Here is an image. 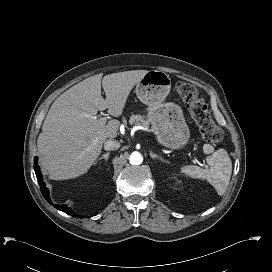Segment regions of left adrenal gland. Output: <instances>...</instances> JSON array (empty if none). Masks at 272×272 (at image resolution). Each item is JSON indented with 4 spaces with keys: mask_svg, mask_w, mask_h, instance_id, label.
Returning <instances> with one entry per match:
<instances>
[{
    "mask_svg": "<svg viewBox=\"0 0 272 272\" xmlns=\"http://www.w3.org/2000/svg\"><path fill=\"white\" fill-rule=\"evenodd\" d=\"M149 154H150V157H151L152 159H159V160H161V161L164 162V163H169L167 160H165V159L162 158L161 156H159V155L153 153L152 151H150Z\"/></svg>",
    "mask_w": 272,
    "mask_h": 272,
    "instance_id": "obj_1",
    "label": "left adrenal gland"
}]
</instances>
